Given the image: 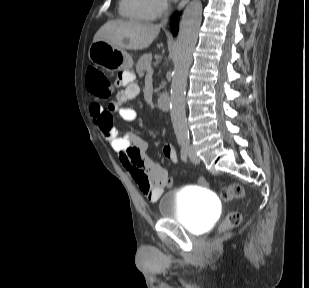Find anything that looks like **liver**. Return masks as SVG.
<instances>
[{"mask_svg":"<svg viewBox=\"0 0 309 288\" xmlns=\"http://www.w3.org/2000/svg\"><path fill=\"white\" fill-rule=\"evenodd\" d=\"M159 32V25L117 19L106 22L93 41L104 40L122 50H142L154 41Z\"/></svg>","mask_w":309,"mask_h":288,"instance_id":"6515ba94","label":"liver"}]
</instances>
